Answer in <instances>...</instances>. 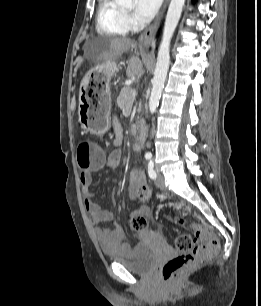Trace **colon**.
I'll return each instance as SVG.
<instances>
[{
  "instance_id": "colon-1",
  "label": "colon",
  "mask_w": 261,
  "mask_h": 306,
  "mask_svg": "<svg viewBox=\"0 0 261 306\" xmlns=\"http://www.w3.org/2000/svg\"><path fill=\"white\" fill-rule=\"evenodd\" d=\"M104 159L103 152L92 145L88 139H83L77 146V163L79 168L88 169L100 164ZM150 189L145 187L139 192V199L145 202L150 197ZM176 222L183 224L186 222L183 216H177ZM131 228L134 231H142L148 227V222L144 215L137 214L131 218ZM198 239L203 243L197 245L195 238L188 233L180 234L175 239V247L181 253L168 259L162 266L161 273L166 283L177 281L190 270L205 263L213 253L219 248V240L211 230L204 225L193 224Z\"/></svg>"
}]
</instances>
